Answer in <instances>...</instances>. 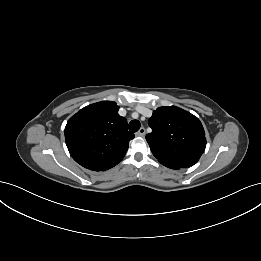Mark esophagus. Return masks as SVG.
I'll return each mask as SVG.
<instances>
[{"label": "esophagus", "instance_id": "esophagus-1", "mask_svg": "<svg viewBox=\"0 0 261 261\" xmlns=\"http://www.w3.org/2000/svg\"><path fill=\"white\" fill-rule=\"evenodd\" d=\"M146 130L144 127H141L139 131L136 133L137 136L143 137L145 136Z\"/></svg>", "mask_w": 261, "mask_h": 261}]
</instances>
